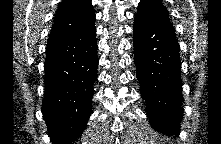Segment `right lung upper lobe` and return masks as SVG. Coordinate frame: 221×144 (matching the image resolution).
Listing matches in <instances>:
<instances>
[{
  "mask_svg": "<svg viewBox=\"0 0 221 144\" xmlns=\"http://www.w3.org/2000/svg\"><path fill=\"white\" fill-rule=\"evenodd\" d=\"M94 20L91 0H64L56 12L47 45L84 30L92 25Z\"/></svg>",
  "mask_w": 221,
  "mask_h": 144,
  "instance_id": "right-lung-upper-lobe-1",
  "label": "right lung upper lobe"
}]
</instances>
